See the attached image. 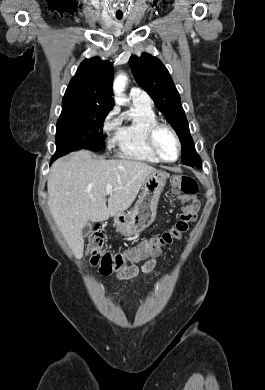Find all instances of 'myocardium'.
Returning a JSON list of instances; mask_svg holds the SVG:
<instances>
[{
	"label": "myocardium",
	"mask_w": 265,
	"mask_h": 390,
	"mask_svg": "<svg viewBox=\"0 0 265 390\" xmlns=\"http://www.w3.org/2000/svg\"><path fill=\"white\" fill-rule=\"evenodd\" d=\"M160 129H166L168 130L175 142H176V146H177V155L175 157V159L173 160H167L165 159L161 153L159 152V150L157 149V146H156V134L157 132L160 130ZM145 140H146V144H147V147L148 149L156 156V158L161 161V162H164V163H174L176 162L180 155H181V142H180V139H179V136L177 134V132L175 131V129L167 124V123H164V122H160V121H155L153 123H151L147 128H146V132H145Z\"/></svg>",
	"instance_id": "1"
}]
</instances>
